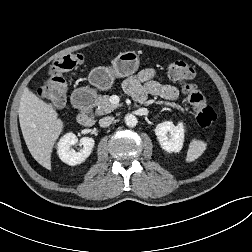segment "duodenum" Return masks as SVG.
<instances>
[{
  "label": "duodenum",
  "mask_w": 252,
  "mask_h": 252,
  "mask_svg": "<svg viewBox=\"0 0 252 252\" xmlns=\"http://www.w3.org/2000/svg\"><path fill=\"white\" fill-rule=\"evenodd\" d=\"M94 101V95L88 89H79L74 92L72 102L80 110L77 121L83 126H92L94 121L89 115V108Z\"/></svg>",
  "instance_id": "1"
}]
</instances>
